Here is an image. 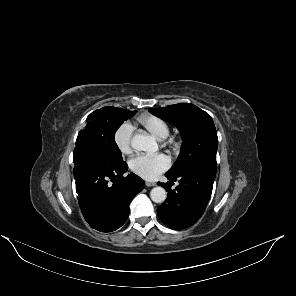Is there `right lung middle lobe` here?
<instances>
[{
	"mask_svg": "<svg viewBox=\"0 0 296 296\" xmlns=\"http://www.w3.org/2000/svg\"><path fill=\"white\" fill-rule=\"evenodd\" d=\"M135 111L115 107H103L91 113L86 127L78 134L76 144H86L104 154L114 164L123 163L121 151L115 142V132L131 118Z\"/></svg>",
	"mask_w": 296,
	"mask_h": 296,
	"instance_id": "obj_1",
	"label": "right lung middle lobe"
}]
</instances>
